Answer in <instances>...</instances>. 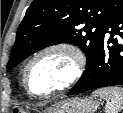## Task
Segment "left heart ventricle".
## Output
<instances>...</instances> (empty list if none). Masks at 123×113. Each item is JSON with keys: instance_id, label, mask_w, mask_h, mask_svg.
I'll list each match as a JSON object with an SVG mask.
<instances>
[{"instance_id": "b2bd125f", "label": "left heart ventricle", "mask_w": 123, "mask_h": 113, "mask_svg": "<svg viewBox=\"0 0 123 113\" xmlns=\"http://www.w3.org/2000/svg\"><path fill=\"white\" fill-rule=\"evenodd\" d=\"M69 60L62 54H51L36 61L27 73V84L35 93H42L50 89L69 70Z\"/></svg>"}]
</instances>
